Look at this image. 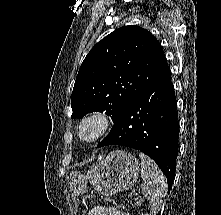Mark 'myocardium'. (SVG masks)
<instances>
[{
  "mask_svg": "<svg viewBox=\"0 0 221 215\" xmlns=\"http://www.w3.org/2000/svg\"><path fill=\"white\" fill-rule=\"evenodd\" d=\"M112 120L110 116L100 110H95L83 115L76 125V136L78 140L85 145H91L100 140L110 130ZM88 126L92 127V132L86 134Z\"/></svg>",
  "mask_w": 221,
  "mask_h": 215,
  "instance_id": "obj_1",
  "label": "myocardium"
}]
</instances>
